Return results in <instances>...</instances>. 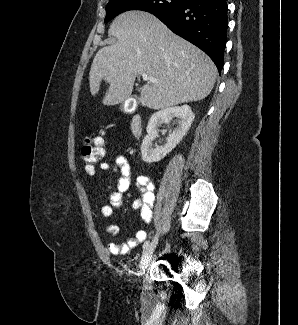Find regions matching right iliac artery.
Here are the masks:
<instances>
[{"mask_svg": "<svg viewBox=\"0 0 298 325\" xmlns=\"http://www.w3.org/2000/svg\"><path fill=\"white\" fill-rule=\"evenodd\" d=\"M149 243H150V241H146V242L143 244V249H146V248L149 246Z\"/></svg>", "mask_w": 298, "mask_h": 325, "instance_id": "82829eb1", "label": "right iliac artery"}]
</instances>
